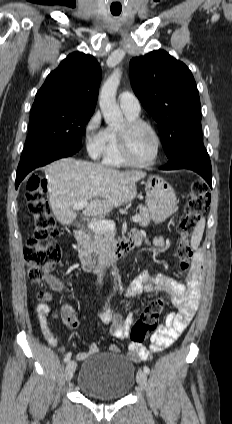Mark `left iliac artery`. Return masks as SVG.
I'll return each instance as SVG.
<instances>
[{
    "label": "left iliac artery",
    "mask_w": 232,
    "mask_h": 424,
    "mask_svg": "<svg viewBox=\"0 0 232 424\" xmlns=\"http://www.w3.org/2000/svg\"><path fill=\"white\" fill-rule=\"evenodd\" d=\"M144 371H145V373H147V374H149L150 373V369H149V367L148 366H144Z\"/></svg>",
    "instance_id": "left-iliac-artery-1"
}]
</instances>
